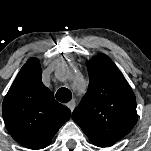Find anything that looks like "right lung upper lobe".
I'll use <instances>...</instances> for the list:
<instances>
[{
    "label": "right lung upper lobe",
    "instance_id": "right-lung-upper-lobe-1",
    "mask_svg": "<svg viewBox=\"0 0 151 151\" xmlns=\"http://www.w3.org/2000/svg\"><path fill=\"white\" fill-rule=\"evenodd\" d=\"M2 114L11 136L29 149L49 145L71 111L54 99L42 83L41 66L36 57L28 59L4 98Z\"/></svg>",
    "mask_w": 151,
    "mask_h": 151
}]
</instances>
